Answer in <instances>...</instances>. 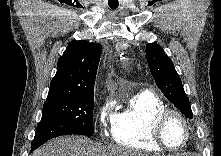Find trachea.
Here are the masks:
<instances>
[{
  "mask_svg": "<svg viewBox=\"0 0 221 156\" xmlns=\"http://www.w3.org/2000/svg\"><path fill=\"white\" fill-rule=\"evenodd\" d=\"M111 1H116V2H111ZM118 0H109V6L112 9H116L118 7Z\"/></svg>",
  "mask_w": 221,
  "mask_h": 156,
  "instance_id": "trachea-1",
  "label": "trachea"
}]
</instances>
